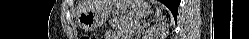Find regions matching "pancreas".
I'll use <instances>...</instances> for the list:
<instances>
[{
	"mask_svg": "<svg viewBox=\"0 0 249 39\" xmlns=\"http://www.w3.org/2000/svg\"><path fill=\"white\" fill-rule=\"evenodd\" d=\"M109 24L120 36L126 38H130L139 29L138 23L128 17H113L109 20Z\"/></svg>",
	"mask_w": 249,
	"mask_h": 39,
	"instance_id": "cf45deb5",
	"label": "pancreas"
}]
</instances>
